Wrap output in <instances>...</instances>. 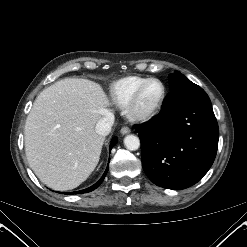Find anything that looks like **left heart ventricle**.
Here are the masks:
<instances>
[{
	"mask_svg": "<svg viewBox=\"0 0 247 247\" xmlns=\"http://www.w3.org/2000/svg\"><path fill=\"white\" fill-rule=\"evenodd\" d=\"M162 87L157 82H152L143 90L137 104V110L147 112L153 109L160 100Z\"/></svg>",
	"mask_w": 247,
	"mask_h": 247,
	"instance_id": "left-heart-ventricle-1",
	"label": "left heart ventricle"
}]
</instances>
